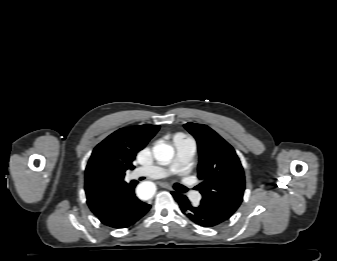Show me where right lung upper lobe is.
Returning a JSON list of instances; mask_svg holds the SVG:
<instances>
[{
  "instance_id": "right-lung-upper-lobe-1",
  "label": "right lung upper lobe",
  "mask_w": 337,
  "mask_h": 261,
  "mask_svg": "<svg viewBox=\"0 0 337 261\" xmlns=\"http://www.w3.org/2000/svg\"><path fill=\"white\" fill-rule=\"evenodd\" d=\"M159 128V125L121 128L94 148L85 170V192L88 206L96 216L127 187L126 170L133 167L137 152Z\"/></svg>"
}]
</instances>
